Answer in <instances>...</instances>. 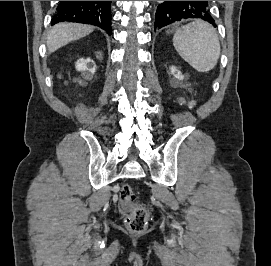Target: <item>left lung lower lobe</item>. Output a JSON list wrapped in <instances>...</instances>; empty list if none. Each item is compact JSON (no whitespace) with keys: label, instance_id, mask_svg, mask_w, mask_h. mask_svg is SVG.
Listing matches in <instances>:
<instances>
[{"label":"left lung lower lobe","instance_id":"1","mask_svg":"<svg viewBox=\"0 0 271 266\" xmlns=\"http://www.w3.org/2000/svg\"><path fill=\"white\" fill-rule=\"evenodd\" d=\"M187 18L204 20L216 27L208 1H164L158 5L154 28L160 29Z\"/></svg>","mask_w":271,"mask_h":266}]
</instances>
